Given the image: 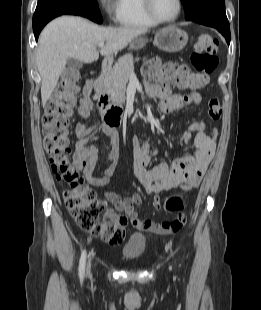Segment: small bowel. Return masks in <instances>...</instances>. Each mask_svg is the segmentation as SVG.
<instances>
[{"label":"small bowel","instance_id":"small-bowel-1","mask_svg":"<svg viewBox=\"0 0 261 310\" xmlns=\"http://www.w3.org/2000/svg\"><path fill=\"white\" fill-rule=\"evenodd\" d=\"M91 86V82L85 83L80 99L79 114L86 122L78 124L74 131L77 141L74 146L73 167L81 171L90 184L105 186L109 183L118 164L119 140L113 129L108 127L98 129L97 126L88 123L92 113ZM145 90L149 96L159 98L163 112H172L186 105H197L202 100L201 95L196 91L184 95L175 94L168 87L151 82L145 83ZM203 125L202 122L191 123L182 134V140L189 142L192 134L195 133L194 154L176 159L171 164L159 163L152 169L147 168L156 155V149L151 140L146 139L141 143L138 139H133V171L146 192L154 196L155 208L160 206L158 198L160 192L177 188L183 183H193L194 187L200 183L216 149L215 137L206 135L201 127ZM99 130L109 140L107 147L103 149L96 145ZM100 155L105 157L108 165L101 175H95L94 167ZM104 195L113 205V208L106 212L107 215L125 213L134 227L149 231L146 224L152 221L139 219L135 210V206L142 202L140 194L134 193L128 197H121L115 192L106 190Z\"/></svg>","mask_w":261,"mask_h":310}]
</instances>
